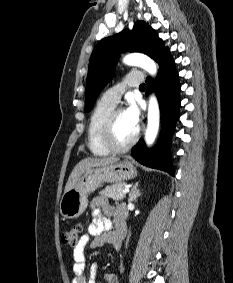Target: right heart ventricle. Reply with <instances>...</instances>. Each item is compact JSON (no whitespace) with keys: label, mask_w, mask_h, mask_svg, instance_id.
<instances>
[{"label":"right heart ventricle","mask_w":233,"mask_h":283,"mask_svg":"<svg viewBox=\"0 0 233 283\" xmlns=\"http://www.w3.org/2000/svg\"><path fill=\"white\" fill-rule=\"evenodd\" d=\"M114 107V105L100 100L89 117L87 126V146L90 152L95 156H106L110 153V151L103 145L101 135L103 125Z\"/></svg>","instance_id":"obj_1"}]
</instances>
